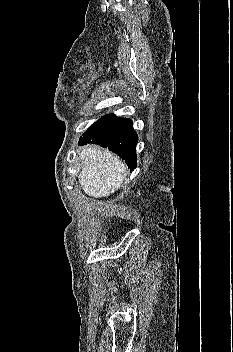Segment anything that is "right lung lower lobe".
<instances>
[{"mask_svg": "<svg viewBox=\"0 0 233 352\" xmlns=\"http://www.w3.org/2000/svg\"><path fill=\"white\" fill-rule=\"evenodd\" d=\"M137 133L132 128V121L106 115L95 122L79 139L80 145L98 144L118 154L128 167L133 170L137 165Z\"/></svg>", "mask_w": 233, "mask_h": 352, "instance_id": "right-lung-lower-lobe-1", "label": "right lung lower lobe"}]
</instances>
